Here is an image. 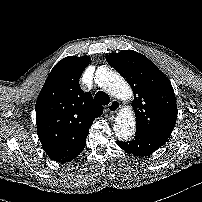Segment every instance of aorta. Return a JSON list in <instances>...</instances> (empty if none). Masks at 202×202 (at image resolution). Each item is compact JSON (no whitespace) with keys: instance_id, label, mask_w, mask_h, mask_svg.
Wrapping results in <instances>:
<instances>
[{"instance_id":"762f6f07","label":"aorta","mask_w":202,"mask_h":202,"mask_svg":"<svg viewBox=\"0 0 202 202\" xmlns=\"http://www.w3.org/2000/svg\"><path fill=\"white\" fill-rule=\"evenodd\" d=\"M95 78L109 94L127 100L132 97V89L129 84L117 73L106 67H99L96 70ZM135 117L131 110L122 111L116 118L114 131L120 140H128L135 133Z\"/></svg>"}]
</instances>
